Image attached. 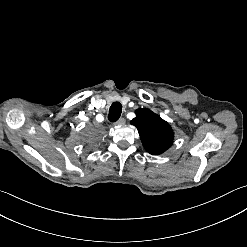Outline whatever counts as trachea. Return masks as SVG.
Returning <instances> with one entry per match:
<instances>
[{
	"mask_svg": "<svg viewBox=\"0 0 247 247\" xmlns=\"http://www.w3.org/2000/svg\"><path fill=\"white\" fill-rule=\"evenodd\" d=\"M121 112H122L121 103L120 102H114L109 109L108 119L111 122L117 121L119 119V117L121 116Z\"/></svg>",
	"mask_w": 247,
	"mask_h": 247,
	"instance_id": "trachea-1",
	"label": "trachea"
}]
</instances>
